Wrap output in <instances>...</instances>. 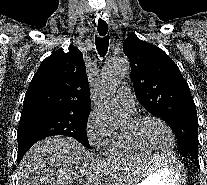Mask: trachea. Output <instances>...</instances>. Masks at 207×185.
Here are the masks:
<instances>
[{
    "instance_id": "obj_1",
    "label": "trachea",
    "mask_w": 207,
    "mask_h": 185,
    "mask_svg": "<svg viewBox=\"0 0 207 185\" xmlns=\"http://www.w3.org/2000/svg\"><path fill=\"white\" fill-rule=\"evenodd\" d=\"M98 33L101 37H95L96 40V48L102 57L107 53L108 45H109V36L106 35L108 31V25L105 22H99L97 27Z\"/></svg>"
}]
</instances>
